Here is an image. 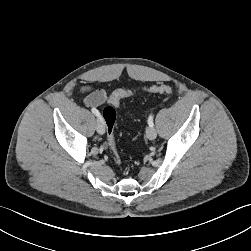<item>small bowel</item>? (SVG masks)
I'll return each instance as SVG.
<instances>
[{"mask_svg":"<svg viewBox=\"0 0 251 251\" xmlns=\"http://www.w3.org/2000/svg\"><path fill=\"white\" fill-rule=\"evenodd\" d=\"M82 90L87 93L84 99V103L87 106H91L93 108L98 107L108 99V94L102 89H92L91 87L86 86Z\"/></svg>","mask_w":251,"mask_h":251,"instance_id":"small-bowel-1","label":"small bowel"}]
</instances>
